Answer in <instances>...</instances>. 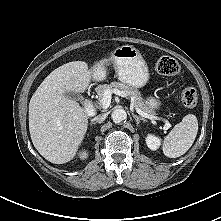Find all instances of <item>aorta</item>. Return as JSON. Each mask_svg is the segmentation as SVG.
Returning a JSON list of instances; mask_svg holds the SVG:
<instances>
[{"instance_id":"1","label":"aorta","mask_w":221,"mask_h":221,"mask_svg":"<svg viewBox=\"0 0 221 221\" xmlns=\"http://www.w3.org/2000/svg\"><path fill=\"white\" fill-rule=\"evenodd\" d=\"M112 120L115 123H120L127 118V113L124 109L118 108L112 112Z\"/></svg>"}]
</instances>
